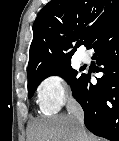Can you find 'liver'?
<instances>
[{
	"label": "liver",
	"instance_id": "obj_1",
	"mask_svg": "<svg viewBox=\"0 0 119 141\" xmlns=\"http://www.w3.org/2000/svg\"><path fill=\"white\" fill-rule=\"evenodd\" d=\"M84 132V133H83ZM100 141L85 129L82 131L71 115H55L34 121L28 141Z\"/></svg>",
	"mask_w": 119,
	"mask_h": 141
}]
</instances>
